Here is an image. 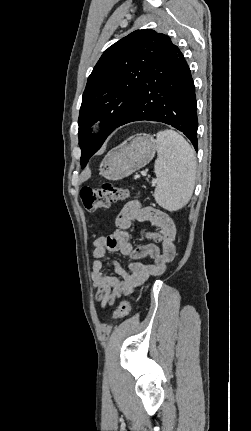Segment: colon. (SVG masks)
<instances>
[{
	"instance_id": "obj_1",
	"label": "colon",
	"mask_w": 251,
	"mask_h": 431,
	"mask_svg": "<svg viewBox=\"0 0 251 431\" xmlns=\"http://www.w3.org/2000/svg\"><path fill=\"white\" fill-rule=\"evenodd\" d=\"M80 197L83 206L88 212H95L100 209L108 208L113 203L125 200L129 197V192L126 189L113 186L111 184H103L98 189L85 186L80 190ZM130 311V302L123 299L114 313L115 320L125 318Z\"/></svg>"
}]
</instances>
